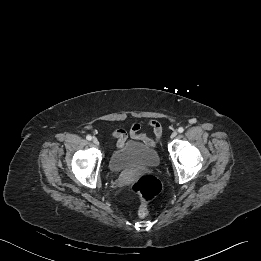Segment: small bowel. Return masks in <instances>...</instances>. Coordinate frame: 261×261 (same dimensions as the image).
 I'll return each instance as SVG.
<instances>
[{"label":"small bowel","mask_w":261,"mask_h":261,"mask_svg":"<svg viewBox=\"0 0 261 261\" xmlns=\"http://www.w3.org/2000/svg\"><path fill=\"white\" fill-rule=\"evenodd\" d=\"M147 125L153 130L156 140L150 138L148 135L141 132V126L138 123L131 124L130 129H129V134L132 138L140 140L148 145L155 146L157 139L160 138L161 133H162L161 126L155 120H150L147 123ZM113 136L117 139L116 146H117V148H119L125 144L128 134L123 129H117L113 132Z\"/></svg>","instance_id":"1"}]
</instances>
